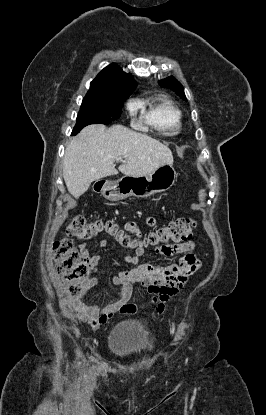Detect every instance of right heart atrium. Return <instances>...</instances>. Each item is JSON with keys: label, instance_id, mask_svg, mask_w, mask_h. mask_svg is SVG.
<instances>
[{"label": "right heart atrium", "instance_id": "obj_1", "mask_svg": "<svg viewBox=\"0 0 266 415\" xmlns=\"http://www.w3.org/2000/svg\"><path fill=\"white\" fill-rule=\"evenodd\" d=\"M137 108H138V104L135 101H130L127 104V110L129 111L130 114H134Z\"/></svg>", "mask_w": 266, "mask_h": 415}]
</instances>
